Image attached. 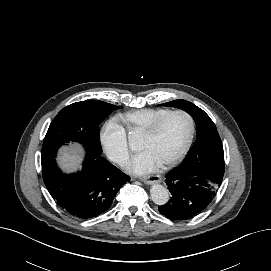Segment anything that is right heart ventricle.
<instances>
[{"instance_id":"right-heart-ventricle-1","label":"right heart ventricle","mask_w":271,"mask_h":271,"mask_svg":"<svg viewBox=\"0 0 271 271\" xmlns=\"http://www.w3.org/2000/svg\"><path fill=\"white\" fill-rule=\"evenodd\" d=\"M172 111L171 108H142L124 112L117 116L118 123L130 133L144 131L149 125Z\"/></svg>"}]
</instances>
